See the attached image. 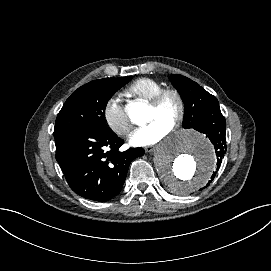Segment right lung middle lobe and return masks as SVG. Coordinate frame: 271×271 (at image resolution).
Segmentation results:
<instances>
[{
  "label": "right lung middle lobe",
  "mask_w": 271,
  "mask_h": 271,
  "mask_svg": "<svg viewBox=\"0 0 271 271\" xmlns=\"http://www.w3.org/2000/svg\"><path fill=\"white\" fill-rule=\"evenodd\" d=\"M131 78L94 80L75 90L56 118L54 137L73 130L109 131L104 115L107 102Z\"/></svg>",
  "instance_id": "dd1d6c3e"
}]
</instances>
